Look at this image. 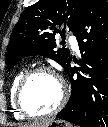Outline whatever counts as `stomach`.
<instances>
[{
    "label": "stomach",
    "instance_id": "0dacf381",
    "mask_svg": "<svg viewBox=\"0 0 108 127\" xmlns=\"http://www.w3.org/2000/svg\"><path fill=\"white\" fill-rule=\"evenodd\" d=\"M44 127H73V126L69 122H66L64 120H53Z\"/></svg>",
    "mask_w": 108,
    "mask_h": 127
}]
</instances>
